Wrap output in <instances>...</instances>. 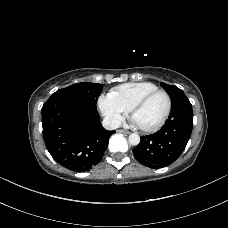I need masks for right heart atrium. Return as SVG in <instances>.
Instances as JSON below:
<instances>
[{"mask_svg":"<svg viewBox=\"0 0 228 228\" xmlns=\"http://www.w3.org/2000/svg\"><path fill=\"white\" fill-rule=\"evenodd\" d=\"M98 107L107 123L118 125L128 110L118 104L109 94H103L98 99Z\"/></svg>","mask_w":228,"mask_h":228,"instance_id":"1","label":"right heart atrium"}]
</instances>
